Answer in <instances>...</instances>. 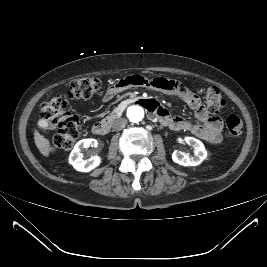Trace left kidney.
Listing matches in <instances>:
<instances>
[{"label": "left kidney", "instance_id": "1", "mask_svg": "<svg viewBox=\"0 0 267 267\" xmlns=\"http://www.w3.org/2000/svg\"><path fill=\"white\" fill-rule=\"evenodd\" d=\"M185 142L194 148V156H188L187 154L175 150L172 154V160L182 166H197L206 157L207 151L203 143L194 137H185Z\"/></svg>", "mask_w": 267, "mask_h": 267}]
</instances>
